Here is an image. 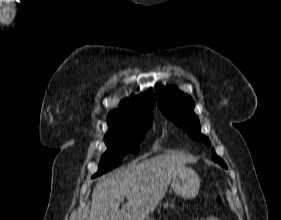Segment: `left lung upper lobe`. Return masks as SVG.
<instances>
[{
	"label": "left lung upper lobe",
	"mask_w": 281,
	"mask_h": 220,
	"mask_svg": "<svg viewBox=\"0 0 281 220\" xmlns=\"http://www.w3.org/2000/svg\"><path fill=\"white\" fill-rule=\"evenodd\" d=\"M156 97L159 109L183 129L195 140H203L210 145V140L200 133L199 119L195 115L194 101L191 97L180 92L176 87L156 88ZM212 158L222 167L227 168L226 164L212 151Z\"/></svg>",
	"instance_id": "left-lung-upper-lobe-1"
}]
</instances>
